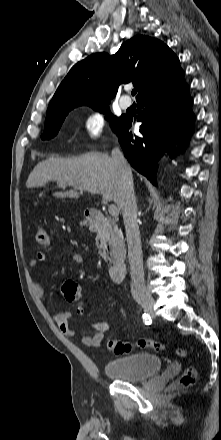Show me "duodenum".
Segmentation results:
<instances>
[{
  "mask_svg": "<svg viewBox=\"0 0 221 440\" xmlns=\"http://www.w3.org/2000/svg\"><path fill=\"white\" fill-rule=\"evenodd\" d=\"M87 220L89 223V227L93 230H107L109 227V222L105 218L103 214L99 211H91L87 214ZM110 277L115 282H121L125 278L126 275V266L121 261H113L110 270Z\"/></svg>",
  "mask_w": 221,
  "mask_h": 440,
  "instance_id": "duodenum-1",
  "label": "duodenum"
}]
</instances>
